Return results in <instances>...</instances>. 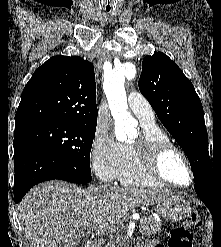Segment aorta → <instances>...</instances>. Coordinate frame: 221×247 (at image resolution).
I'll return each mask as SVG.
<instances>
[{
  "label": "aorta",
  "instance_id": "obj_1",
  "mask_svg": "<svg viewBox=\"0 0 221 247\" xmlns=\"http://www.w3.org/2000/svg\"><path fill=\"white\" fill-rule=\"evenodd\" d=\"M133 64H124L105 75L103 89L106 94L111 114L115 119V135L124 142L136 134L137 121L127 111V96L124 88L125 76L134 77Z\"/></svg>",
  "mask_w": 221,
  "mask_h": 247
}]
</instances>
